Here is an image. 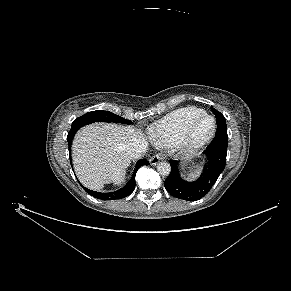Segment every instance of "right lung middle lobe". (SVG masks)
I'll return each mask as SVG.
<instances>
[{"label": "right lung middle lobe", "mask_w": 291, "mask_h": 291, "mask_svg": "<svg viewBox=\"0 0 291 291\" xmlns=\"http://www.w3.org/2000/svg\"><path fill=\"white\" fill-rule=\"evenodd\" d=\"M93 122H113L122 124H131L132 121L122 118L109 111H92L84 114L83 116L75 119L72 124L84 126Z\"/></svg>", "instance_id": "1"}]
</instances>
